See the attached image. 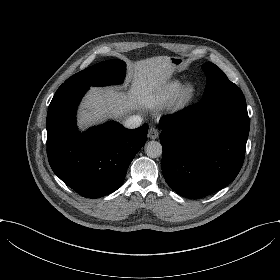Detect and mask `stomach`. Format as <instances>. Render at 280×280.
Listing matches in <instances>:
<instances>
[{"mask_svg":"<svg viewBox=\"0 0 280 280\" xmlns=\"http://www.w3.org/2000/svg\"><path fill=\"white\" fill-rule=\"evenodd\" d=\"M172 66L177 70H183L185 68V60L182 57H170Z\"/></svg>","mask_w":280,"mask_h":280,"instance_id":"obj_1","label":"stomach"}]
</instances>
